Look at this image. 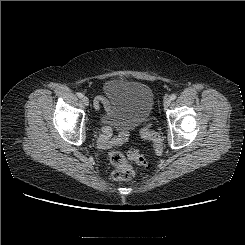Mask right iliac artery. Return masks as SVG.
Instances as JSON below:
<instances>
[{
    "label": "right iliac artery",
    "instance_id": "82829eb1",
    "mask_svg": "<svg viewBox=\"0 0 245 245\" xmlns=\"http://www.w3.org/2000/svg\"><path fill=\"white\" fill-rule=\"evenodd\" d=\"M77 96L79 97V98H82L83 97V94L82 93H77Z\"/></svg>",
    "mask_w": 245,
    "mask_h": 245
}]
</instances>
